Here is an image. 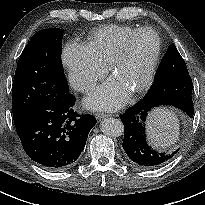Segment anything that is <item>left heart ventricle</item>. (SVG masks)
I'll use <instances>...</instances> for the list:
<instances>
[{"label":"left heart ventricle","mask_w":205,"mask_h":205,"mask_svg":"<svg viewBox=\"0 0 205 205\" xmlns=\"http://www.w3.org/2000/svg\"><path fill=\"white\" fill-rule=\"evenodd\" d=\"M156 44V38L151 33L136 37L130 45L127 57L117 67L114 77L129 90L140 85L147 74Z\"/></svg>","instance_id":"obj_1"}]
</instances>
